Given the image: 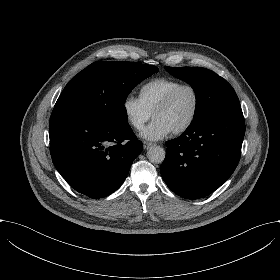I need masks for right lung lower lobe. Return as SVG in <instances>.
Wrapping results in <instances>:
<instances>
[{
    "instance_id": "obj_1",
    "label": "right lung lower lobe",
    "mask_w": 280,
    "mask_h": 280,
    "mask_svg": "<svg viewBox=\"0 0 280 280\" xmlns=\"http://www.w3.org/2000/svg\"><path fill=\"white\" fill-rule=\"evenodd\" d=\"M49 137L56 169L90 198L116 191L143 147L128 122L101 121L73 111L52 112Z\"/></svg>"
}]
</instances>
